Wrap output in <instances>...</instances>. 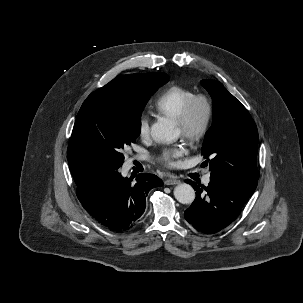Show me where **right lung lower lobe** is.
Masks as SVG:
<instances>
[{
    "label": "right lung lower lobe",
    "instance_id": "obj_1",
    "mask_svg": "<svg viewBox=\"0 0 303 303\" xmlns=\"http://www.w3.org/2000/svg\"><path fill=\"white\" fill-rule=\"evenodd\" d=\"M117 170L99 169L75 181L77 197L99 223L116 232L132 229L146 208V196L163 182L153 174H138L136 181Z\"/></svg>",
    "mask_w": 303,
    "mask_h": 303
}]
</instances>
